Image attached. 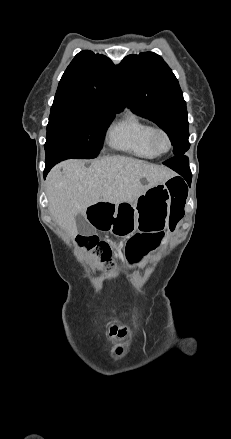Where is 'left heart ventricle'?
<instances>
[{
    "mask_svg": "<svg viewBox=\"0 0 231 439\" xmlns=\"http://www.w3.org/2000/svg\"><path fill=\"white\" fill-rule=\"evenodd\" d=\"M157 143H158V146L160 147V148H164L165 147V142H164V139L163 138H158V141H157Z\"/></svg>",
    "mask_w": 231,
    "mask_h": 439,
    "instance_id": "1",
    "label": "left heart ventricle"
}]
</instances>
